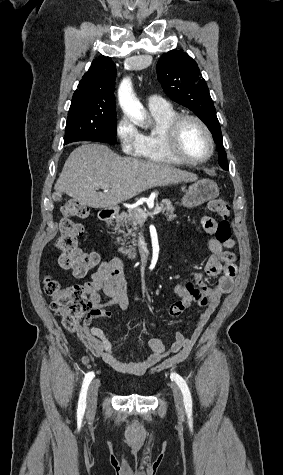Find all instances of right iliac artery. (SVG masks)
Segmentation results:
<instances>
[{
  "mask_svg": "<svg viewBox=\"0 0 283 475\" xmlns=\"http://www.w3.org/2000/svg\"><path fill=\"white\" fill-rule=\"evenodd\" d=\"M94 376H95L94 372H89L85 375L83 385H82V389H81V393H80V397H79V401H78V409H77V416L78 417H82L84 415L85 408H86L87 389H88V386H89L90 382L94 378Z\"/></svg>",
  "mask_w": 283,
  "mask_h": 475,
  "instance_id": "obj_1",
  "label": "right iliac artery"
}]
</instances>
